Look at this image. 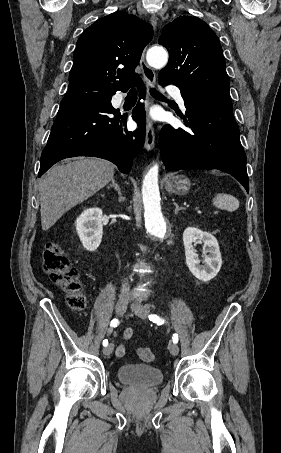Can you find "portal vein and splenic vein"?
<instances>
[{
	"label": "portal vein and splenic vein",
	"instance_id": "18ae733b",
	"mask_svg": "<svg viewBox=\"0 0 281 453\" xmlns=\"http://www.w3.org/2000/svg\"><path fill=\"white\" fill-rule=\"evenodd\" d=\"M186 207L188 208L189 206L187 205ZM194 210H195V211H198V208H195ZM198 212H199V215H202V211H201V210H199ZM212 212H213L215 215H220V214H221L219 210H216V211L213 210Z\"/></svg>",
	"mask_w": 281,
	"mask_h": 453
}]
</instances>
